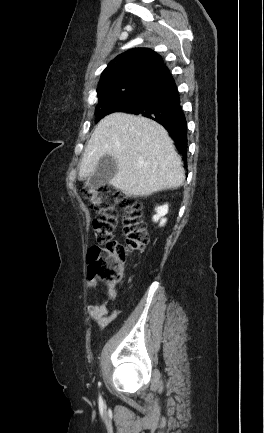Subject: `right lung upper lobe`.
Returning <instances> with one entry per match:
<instances>
[{"instance_id": "1", "label": "right lung upper lobe", "mask_w": 264, "mask_h": 433, "mask_svg": "<svg viewBox=\"0 0 264 433\" xmlns=\"http://www.w3.org/2000/svg\"><path fill=\"white\" fill-rule=\"evenodd\" d=\"M163 65L161 56L150 49L138 48L120 54L102 72L98 97L142 86Z\"/></svg>"}]
</instances>
